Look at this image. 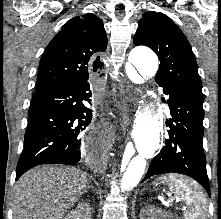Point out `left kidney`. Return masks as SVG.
<instances>
[{
    "mask_svg": "<svg viewBox=\"0 0 221 219\" xmlns=\"http://www.w3.org/2000/svg\"><path fill=\"white\" fill-rule=\"evenodd\" d=\"M140 219H173V216L169 212L150 206L146 210H143Z\"/></svg>",
    "mask_w": 221,
    "mask_h": 219,
    "instance_id": "1",
    "label": "left kidney"
}]
</instances>
